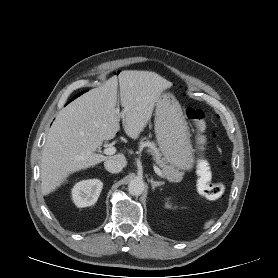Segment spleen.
<instances>
[{"label": "spleen", "mask_w": 278, "mask_h": 278, "mask_svg": "<svg viewBox=\"0 0 278 278\" xmlns=\"http://www.w3.org/2000/svg\"><path fill=\"white\" fill-rule=\"evenodd\" d=\"M213 224V221H209L208 223H206L205 228L210 227Z\"/></svg>", "instance_id": "obj_1"}]
</instances>
